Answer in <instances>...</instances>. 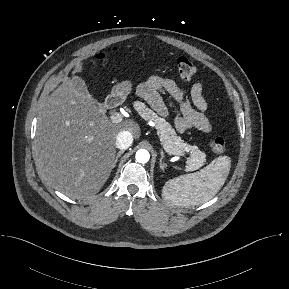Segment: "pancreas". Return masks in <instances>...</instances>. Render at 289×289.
Segmentation results:
<instances>
[{
    "label": "pancreas",
    "instance_id": "pancreas-1",
    "mask_svg": "<svg viewBox=\"0 0 289 289\" xmlns=\"http://www.w3.org/2000/svg\"><path fill=\"white\" fill-rule=\"evenodd\" d=\"M137 111L147 121L155 123L159 139L163 146L183 153H189L190 157L186 161V171H194L203 166L206 160V154L198 149L197 146H191L185 143L181 137L176 135L175 130L164 118L159 117L153 110L149 109L143 103L135 104Z\"/></svg>",
    "mask_w": 289,
    "mask_h": 289
}]
</instances>
